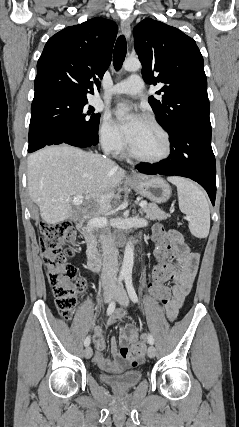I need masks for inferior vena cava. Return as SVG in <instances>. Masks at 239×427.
I'll return each instance as SVG.
<instances>
[{
	"label": "inferior vena cava",
	"instance_id": "1",
	"mask_svg": "<svg viewBox=\"0 0 239 427\" xmlns=\"http://www.w3.org/2000/svg\"><path fill=\"white\" fill-rule=\"evenodd\" d=\"M109 152L110 148L105 147L104 153L108 155ZM100 240L103 252L102 286L104 290H114L116 288V275L118 271V254L114 244V237L109 232L102 233Z\"/></svg>",
	"mask_w": 239,
	"mask_h": 427
}]
</instances>
